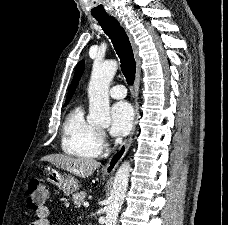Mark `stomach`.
<instances>
[{"label":"stomach","mask_w":228,"mask_h":225,"mask_svg":"<svg viewBox=\"0 0 228 225\" xmlns=\"http://www.w3.org/2000/svg\"><path fill=\"white\" fill-rule=\"evenodd\" d=\"M46 177L47 181H49V183H52V185H56L58 189H61L66 197H69V195H74V193H77V191H79V181H77V179H74L72 175L60 173L58 169H51V167H47Z\"/></svg>","instance_id":"stomach-1"}]
</instances>
